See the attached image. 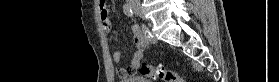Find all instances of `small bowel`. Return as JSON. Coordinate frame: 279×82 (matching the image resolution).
<instances>
[{
  "label": "small bowel",
  "mask_w": 279,
  "mask_h": 82,
  "mask_svg": "<svg viewBox=\"0 0 279 82\" xmlns=\"http://www.w3.org/2000/svg\"><path fill=\"white\" fill-rule=\"evenodd\" d=\"M99 7L101 9L103 27L106 31L111 32L113 30V25L107 18L106 1L99 0ZM131 30L133 33V42H134L137 50L134 52V54L131 58L130 65L126 68L118 69L117 72L120 77H127V76L135 74L136 70L141 65V62L144 57V50L147 46L146 40L142 34L140 27L138 25H133ZM121 58H122V54L120 52L117 51V52L113 53V60L115 63H119L121 61Z\"/></svg>",
  "instance_id": "obj_1"
}]
</instances>
